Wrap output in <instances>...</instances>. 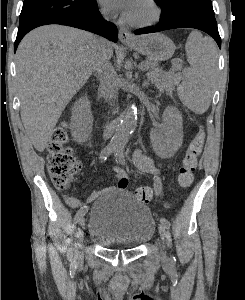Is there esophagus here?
<instances>
[{
  "mask_svg": "<svg viewBox=\"0 0 245 300\" xmlns=\"http://www.w3.org/2000/svg\"><path fill=\"white\" fill-rule=\"evenodd\" d=\"M118 37L121 42H131L135 40L134 35L125 27H120Z\"/></svg>",
  "mask_w": 245,
  "mask_h": 300,
  "instance_id": "1",
  "label": "esophagus"
}]
</instances>
